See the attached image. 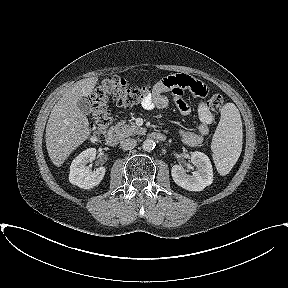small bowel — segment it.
Returning a JSON list of instances; mask_svg holds the SVG:
<instances>
[{"instance_id":"c3829d8e","label":"small bowel","mask_w":288,"mask_h":288,"mask_svg":"<svg viewBox=\"0 0 288 288\" xmlns=\"http://www.w3.org/2000/svg\"><path fill=\"white\" fill-rule=\"evenodd\" d=\"M148 87L151 88V93L142 102V107L144 109L152 110L155 108H167L169 100L166 93L170 92L174 97L175 105L184 116L190 114V108L183 100L184 91L190 90L199 97L206 96L208 92L204 84L186 75L168 76L153 85L149 84ZM197 113L199 118L197 132L189 130L180 131L182 142L192 147L200 145L209 135V126L214 120V115L206 102L199 103Z\"/></svg>"}]
</instances>
